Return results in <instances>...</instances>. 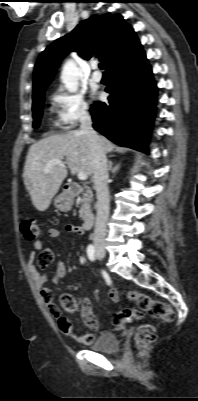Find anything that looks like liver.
<instances>
[{"label":"liver","instance_id":"6515ba94","mask_svg":"<svg viewBox=\"0 0 198 401\" xmlns=\"http://www.w3.org/2000/svg\"><path fill=\"white\" fill-rule=\"evenodd\" d=\"M102 147L105 152L113 149L112 143L103 136ZM66 159L71 174L93 173V158L89 138L81 130L68 131L65 134L53 135L37 141L30 146L24 166L23 179L32 203L38 211H45L53 196L58 192L67 170L54 165L50 172L44 173L46 165L54 160Z\"/></svg>","mask_w":198,"mask_h":401}]
</instances>
